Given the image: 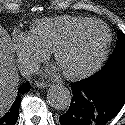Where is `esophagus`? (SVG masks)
I'll use <instances>...</instances> for the list:
<instances>
[{"label":"esophagus","mask_w":125,"mask_h":125,"mask_svg":"<svg viewBox=\"0 0 125 125\" xmlns=\"http://www.w3.org/2000/svg\"><path fill=\"white\" fill-rule=\"evenodd\" d=\"M36 86H37L38 88H46V87L49 86V84L44 83V82H39V81H37V82H36Z\"/></svg>","instance_id":"obj_1"}]
</instances>
